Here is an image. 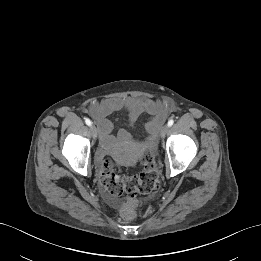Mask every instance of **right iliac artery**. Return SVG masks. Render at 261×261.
<instances>
[{"instance_id":"right-iliac-artery-1","label":"right iliac artery","mask_w":261,"mask_h":261,"mask_svg":"<svg viewBox=\"0 0 261 261\" xmlns=\"http://www.w3.org/2000/svg\"><path fill=\"white\" fill-rule=\"evenodd\" d=\"M85 123H86L88 126H90V125H91L90 119L86 118V119H85Z\"/></svg>"}]
</instances>
